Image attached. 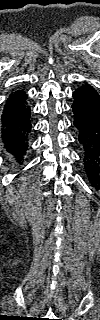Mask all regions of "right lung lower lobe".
<instances>
[{"mask_svg":"<svg viewBox=\"0 0 100 320\" xmlns=\"http://www.w3.org/2000/svg\"><path fill=\"white\" fill-rule=\"evenodd\" d=\"M27 94L16 91L10 95L4 106L2 122V141L11 159L22 164L31 135V110Z\"/></svg>","mask_w":100,"mask_h":320,"instance_id":"obj_1","label":"right lung lower lobe"}]
</instances>
